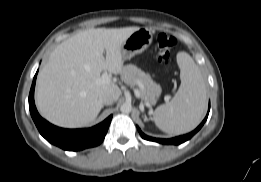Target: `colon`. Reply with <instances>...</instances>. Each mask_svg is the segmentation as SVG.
Returning a JSON list of instances; mask_svg holds the SVG:
<instances>
[{"mask_svg":"<svg viewBox=\"0 0 261 182\" xmlns=\"http://www.w3.org/2000/svg\"><path fill=\"white\" fill-rule=\"evenodd\" d=\"M175 39L165 33H160L157 37L158 61L162 66H168L170 62L171 50L175 46Z\"/></svg>","mask_w":261,"mask_h":182,"instance_id":"1","label":"colon"}]
</instances>
